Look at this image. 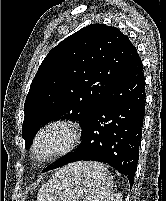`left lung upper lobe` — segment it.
Listing matches in <instances>:
<instances>
[{
  "label": "left lung upper lobe",
  "mask_w": 166,
  "mask_h": 201,
  "mask_svg": "<svg viewBox=\"0 0 166 201\" xmlns=\"http://www.w3.org/2000/svg\"><path fill=\"white\" fill-rule=\"evenodd\" d=\"M136 54L126 35L103 24L88 25L51 49L24 104L25 148L49 121L70 119L83 127Z\"/></svg>",
  "instance_id": "left-lung-upper-lobe-1"
}]
</instances>
